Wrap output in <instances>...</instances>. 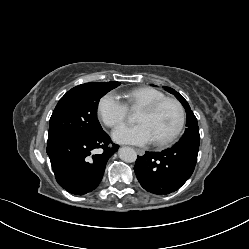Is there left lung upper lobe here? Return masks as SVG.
<instances>
[{
    "instance_id": "5c2ea615",
    "label": "left lung upper lobe",
    "mask_w": 249,
    "mask_h": 249,
    "mask_svg": "<svg viewBox=\"0 0 249 249\" xmlns=\"http://www.w3.org/2000/svg\"><path fill=\"white\" fill-rule=\"evenodd\" d=\"M166 91L172 93L175 95V97L182 103L184 106L187 118H186V126L185 133L181 137L178 143L176 144H185V143H192V144H198L200 142V135H199V128L197 124V119L190 109L189 104L186 102V100L174 89L170 87H164Z\"/></svg>"
}]
</instances>
